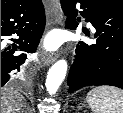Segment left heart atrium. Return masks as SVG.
Returning <instances> with one entry per match:
<instances>
[{"label":"left heart atrium","instance_id":"left-heart-atrium-1","mask_svg":"<svg viewBox=\"0 0 123 113\" xmlns=\"http://www.w3.org/2000/svg\"><path fill=\"white\" fill-rule=\"evenodd\" d=\"M46 47H47L48 49H53V48H55V47H56V42H55V40H54V39L48 40V41L46 42Z\"/></svg>","mask_w":123,"mask_h":113}]
</instances>
